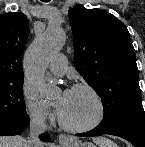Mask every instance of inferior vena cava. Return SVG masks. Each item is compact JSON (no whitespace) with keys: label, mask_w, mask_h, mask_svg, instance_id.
I'll use <instances>...</instances> for the list:
<instances>
[{"label":"inferior vena cava","mask_w":145,"mask_h":147,"mask_svg":"<svg viewBox=\"0 0 145 147\" xmlns=\"http://www.w3.org/2000/svg\"><path fill=\"white\" fill-rule=\"evenodd\" d=\"M46 125L44 123L43 114H33L30 119V137L27 140V147H42V142L38 135L45 132Z\"/></svg>","instance_id":"obj_1"}]
</instances>
